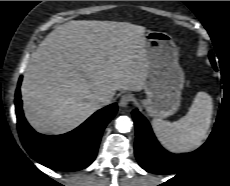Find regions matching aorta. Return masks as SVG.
Returning a JSON list of instances; mask_svg holds the SVG:
<instances>
[{
    "label": "aorta",
    "instance_id": "obj_1",
    "mask_svg": "<svg viewBox=\"0 0 230 186\" xmlns=\"http://www.w3.org/2000/svg\"><path fill=\"white\" fill-rule=\"evenodd\" d=\"M132 121L128 116H119L115 121L116 129L120 133L129 132L132 128Z\"/></svg>",
    "mask_w": 230,
    "mask_h": 186
}]
</instances>
